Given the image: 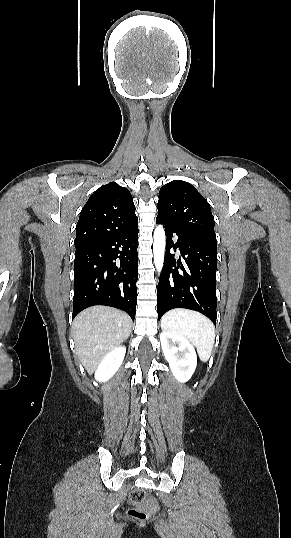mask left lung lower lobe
Here are the masks:
<instances>
[{
	"label": "left lung lower lobe",
	"instance_id": "obj_1",
	"mask_svg": "<svg viewBox=\"0 0 291 538\" xmlns=\"http://www.w3.org/2000/svg\"><path fill=\"white\" fill-rule=\"evenodd\" d=\"M156 223L166 233V256L157 288L158 318L170 309L187 308L216 324V238L179 230L158 217ZM173 235L178 237L176 244ZM172 248H179L182 260L176 261Z\"/></svg>",
	"mask_w": 291,
	"mask_h": 538
}]
</instances>
